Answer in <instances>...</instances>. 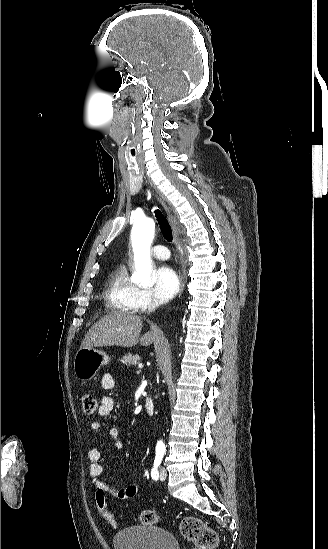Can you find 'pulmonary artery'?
<instances>
[{"label": "pulmonary artery", "mask_w": 328, "mask_h": 549, "mask_svg": "<svg viewBox=\"0 0 328 549\" xmlns=\"http://www.w3.org/2000/svg\"><path fill=\"white\" fill-rule=\"evenodd\" d=\"M169 253L168 246H153L151 248V254L156 259H166L169 257Z\"/></svg>", "instance_id": "1"}]
</instances>
